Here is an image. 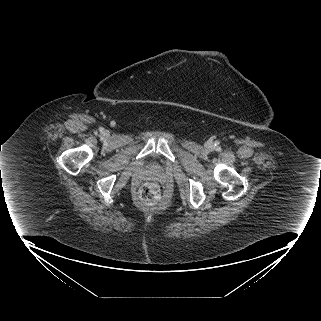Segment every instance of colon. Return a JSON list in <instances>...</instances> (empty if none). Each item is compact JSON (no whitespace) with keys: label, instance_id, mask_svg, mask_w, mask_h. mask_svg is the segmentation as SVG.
Masks as SVG:
<instances>
[{"label":"colon","instance_id":"5ec220e1","mask_svg":"<svg viewBox=\"0 0 321 321\" xmlns=\"http://www.w3.org/2000/svg\"><path fill=\"white\" fill-rule=\"evenodd\" d=\"M160 195V188L155 182H146L138 190L140 201L147 206L155 205L160 200Z\"/></svg>","mask_w":321,"mask_h":321}]
</instances>
